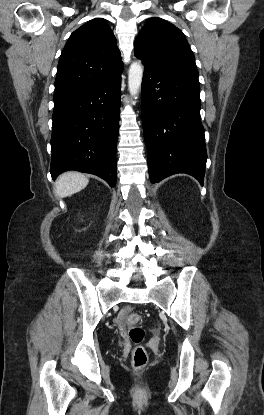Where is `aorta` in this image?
I'll return each mask as SVG.
<instances>
[{"label": "aorta", "instance_id": "aorta-1", "mask_svg": "<svg viewBox=\"0 0 264 415\" xmlns=\"http://www.w3.org/2000/svg\"><path fill=\"white\" fill-rule=\"evenodd\" d=\"M143 71V66L139 61L133 62L130 65L128 74V87L132 97L136 98L139 93L142 83Z\"/></svg>", "mask_w": 264, "mask_h": 415}]
</instances>
